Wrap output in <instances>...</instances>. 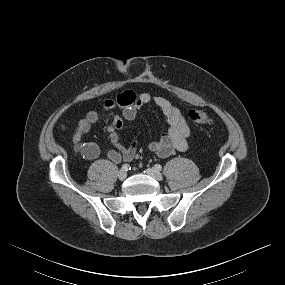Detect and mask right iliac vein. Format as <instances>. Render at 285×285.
<instances>
[{"mask_svg":"<svg viewBox=\"0 0 285 285\" xmlns=\"http://www.w3.org/2000/svg\"><path fill=\"white\" fill-rule=\"evenodd\" d=\"M118 179L123 181L127 177L126 171L120 170L117 174Z\"/></svg>","mask_w":285,"mask_h":285,"instance_id":"63e3f726","label":"right iliac vein"}]
</instances>
